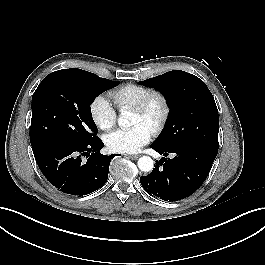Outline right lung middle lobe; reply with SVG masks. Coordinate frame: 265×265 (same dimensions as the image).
Instances as JSON below:
<instances>
[{"mask_svg": "<svg viewBox=\"0 0 265 265\" xmlns=\"http://www.w3.org/2000/svg\"><path fill=\"white\" fill-rule=\"evenodd\" d=\"M119 83L77 68L49 74L32 96V149L97 139L90 105L98 95Z\"/></svg>", "mask_w": 265, "mask_h": 265, "instance_id": "1", "label": "right lung middle lobe"}]
</instances>
